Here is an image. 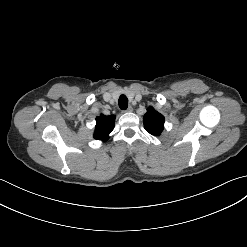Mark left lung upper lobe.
Segmentation results:
<instances>
[{"mask_svg": "<svg viewBox=\"0 0 247 247\" xmlns=\"http://www.w3.org/2000/svg\"><path fill=\"white\" fill-rule=\"evenodd\" d=\"M164 116L158 113L153 107L147 109L143 117L144 128L152 135L159 136L164 129Z\"/></svg>", "mask_w": 247, "mask_h": 247, "instance_id": "obj_1", "label": "left lung upper lobe"}]
</instances>
